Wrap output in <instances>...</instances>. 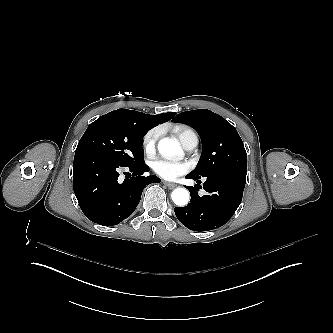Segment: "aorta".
<instances>
[{
    "mask_svg": "<svg viewBox=\"0 0 333 333\" xmlns=\"http://www.w3.org/2000/svg\"><path fill=\"white\" fill-rule=\"evenodd\" d=\"M158 151L165 158H172L182 154V148L177 139L163 138L158 143ZM189 192L185 188H176L172 191L171 198L178 206H185L189 201Z\"/></svg>",
    "mask_w": 333,
    "mask_h": 333,
    "instance_id": "aorta-1",
    "label": "aorta"
}]
</instances>
